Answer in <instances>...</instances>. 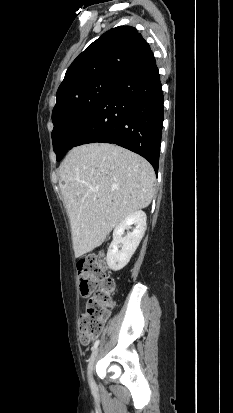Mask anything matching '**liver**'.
<instances>
[{
	"mask_svg": "<svg viewBox=\"0 0 233 413\" xmlns=\"http://www.w3.org/2000/svg\"><path fill=\"white\" fill-rule=\"evenodd\" d=\"M59 176L77 258L99 247L119 222L146 208L154 195L151 164L113 144L73 148Z\"/></svg>",
	"mask_w": 233,
	"mask_h": 413,
	"instance_id": "liver-1",
	"label": "liver"
}]
</instances>
